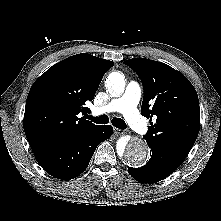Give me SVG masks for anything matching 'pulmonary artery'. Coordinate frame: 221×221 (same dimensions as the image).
<instances>
[{
	"mask_svg": "<svg viewBox=\"0 0 221 221\" xmlns=\"http://www.w3.org/2000/svg\"><path fill=\"white\" fill-rule=\"evenodd\" d=\"M142 89L138 82L130 81L123 94L112 99L104 106L95 109L96 114H105L109 112H120L125 117L127 123L140 135H146L149 127L146 121L140 116L137 105L141 98Z\"/></svg>",
	"mask_w": 221,
	"mask_h": 221,
	"instance_id": "e3ab8cb5",
	"label": "pulmonary artery"
}]
</instances>
